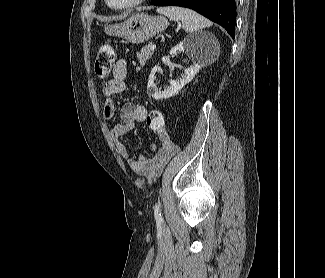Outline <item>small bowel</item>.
<instances>
[{
    "mask_svg": "<svg viewBox=\"0 0 325 278\" xmlns=\"http://www.w3.org/2000/svg\"><path fill=\"white\" fill-rule=\"evenodd\" d=\"M127 88V63L120 59L113 69V78L107 81L102 89L103 117L105 120H112L115 116L116 107L114 98L117 94L124 92ZM147 109L144 106L127 102L120 111L121 122L111 130V136L120 141L134 127L136 123L146 122ZM161 136V146L154 143L149 144V154H141L134 159H129L133 171L149 181L155 180L163 171L170 159L178 152V147L166 137ZM120 153L128 156V150L123 143L118 144Z\"/></svg>",
    "mask_w": 325,
    "mask_h": 278,
    "instance_id": "1",
    "label": "small bowel"
}]
</instances>
